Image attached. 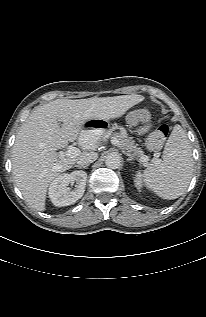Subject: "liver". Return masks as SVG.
<instances>
[{"instance_id":"6515ba94","label":"liver","mask_w":206,"mask_h":317,"mask_svg":"<svg viewBox=\"0 0 206 317\" xmlns=\"http://www.w3.org/2000/svg\"><path fill=\"white\" fill-rule=\"evenodd\" d=\"M144 100L137 94L87 99H57L35 108L22 124L12 149V173L26 202L45 210L49 184L73 167L76 157H61L56 151L76 139L85 150L96 148V140L83 143L81 135L88 120H110L123 116ZM58 122H62L60 126Z\"/></svg>"}]
</instances>
